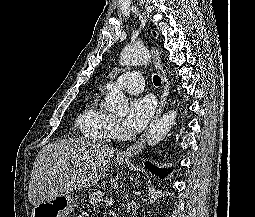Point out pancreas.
<instances>
[{
	"label": "pancreas",
	"mask_w": 255,
	"mask_h": 217,
	"mask_svg": "<svg viewBox=\"0 0 255 217\" xmlns=\"http://www.w3.org/2000/svg\"><path fill=\"white\" fill-rule=\"evenodd\" d=\"M103 197H104V192L97 190L93 192L92 194H89L88 202L93 206H97L99 204H102Z\"/></svg>",
	"instance_id": "cf45deb5"
}]
</instances>
